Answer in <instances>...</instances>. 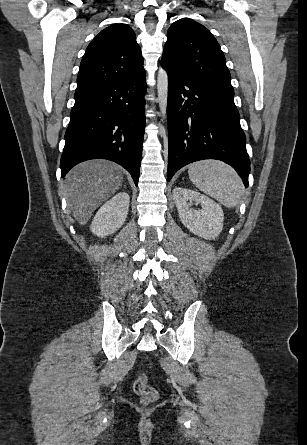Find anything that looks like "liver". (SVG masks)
Wrapping results in <instances>:
<instances>
[{
	"label": "liver",
	"mask_w": 307,
	"mask_h": 445,
	"mask_svg": "<svg viewBox=\"0 0 307 445\" xmlns=\"http://www.w3.org/2000/svg\"><path fill=\"white\" fill-rule=\"evenodd\" d=\"M122 178V166L111 160H86L68 172L62 192L79 225H86L94 210L119 190Z\"/></svg>",
	"instance_id": "liver-1"
}]
</instances>
